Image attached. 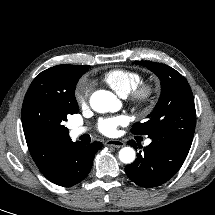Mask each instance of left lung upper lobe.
<instances>
[{
  "mask_svg": "<svg viewBox=\"0 0 215 215\" xmlns=\"http://www.w3.org/2000/svg\"><path fill=\"white\" fill-rule=\"evenodd\" d=\"M154 72L161 80V95L148 115V120L136 123L131 132L149 138H165L178 146L190 149L196 124L192 90L179 72L155 62L136 61Z\"/></svg>",
  "mask_w": 215,
  "mask_h": 215,
  "instance_id": "left-lung-upper-lobe-1",
  "label": "left lung upper lobe"
}]
</instances>
